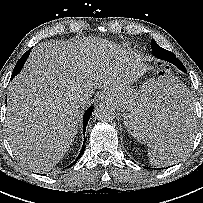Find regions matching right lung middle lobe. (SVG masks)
Instances as JSON below:
<instances>
[{
	"label": "right lung middle lobe",
	"instance_id": "obj_1",
	"mask_svg": "<svg viewBox=\"0 0 203 203\" xmlns=\"http://www.w3.org/2000/svg\"><path fill=\"white\" fill-rule=\"evenodd\" d=\"M19 72H20V70H18V69L15 67L14 70H13V73H12V78H14Z\"/></svg>",
	"mask_w": 203,
	"mask_h": 203
}]
</instances>
